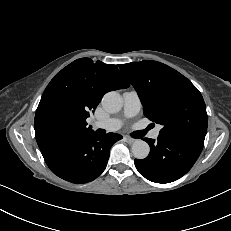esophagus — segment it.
Listing matches in <instances>:
<instances>
[{"mask_svg": "<svg viewBox=\"0 0 231 231\" xmlns=\"http://www.w3.org/2000/svg\"><path fill=\"white\" fill-rule=\"evenodd\" d=\"M124 139L130 144L135 143L137 141V139H134L128 136H125Z\"/></svg>", "mask_w": 231, "mask_h": 231, "instance_id": "esophagus-1", "label": "esophagus"}]
</instances>
